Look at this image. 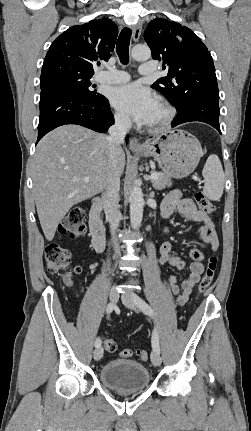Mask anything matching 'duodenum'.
Listing matches in <instances>:
<instances>
[{
	"label": "duodenum",
	"mask_w": 251,
	"mask_h": 431,
	"mask_svg": "<svg viewBox=\"0 0 251 431\" xmlns=\"http://www.w3.org/2000/svg\"><path fill=\"white\" fill-rule=\"evenodd\" d=\"M89 228L93 247L99 252L103 251L106 244V232L102 221V200L99 198L92 202L89 213Z\"/></svg>",
	"instance_id": "obj_1"
}]
</instances>
